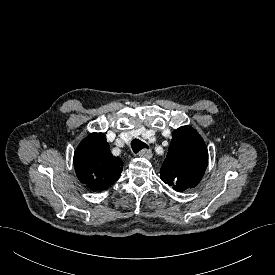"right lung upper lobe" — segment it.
<instances>
[{
	"instance_id": "right-lung-upper-lobe-1",
	"label": "right lung upper lobe",
	"mask_w": 275,
	"mask_h": 275,
	"mask_svg": "<svg viewBox=\"0 0 275 275\" xmlns=\"http://www.w3.org/2000/svg\"><path fill=\"white\" fill-rule=\"evenodd\" d=\"M74 167L79 181L97 191L107 189L119 178L123 162L112 155L102 133H92L78 145Z\"/></svg>"
}]
</instances>
